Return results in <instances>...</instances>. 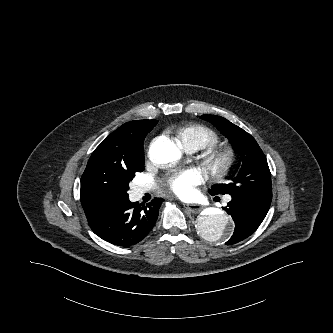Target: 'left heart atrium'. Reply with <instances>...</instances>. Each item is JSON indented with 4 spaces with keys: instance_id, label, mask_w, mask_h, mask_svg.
Returning a JSON list of instances; mask_svg holds the SVG:
<instances>
[{
    "instance_id": "left-heart-atrium-1",
    "label": "left heart atrium",
    "mask_w": 333,
    "mask_h": 333,
    "mask_svg": "<svg viewBox=\"0 0 333 333\" xmlns=\"http://www.w3.org/2000/svg\"><path fill=\"white\" fill-rule=\"evenodd\" d=\"M203 180L202 173L197 169H187L178 172L168 180L169 189L178 197L190 198L195 193V186Z\"/></svg>"
}]
</instances>
